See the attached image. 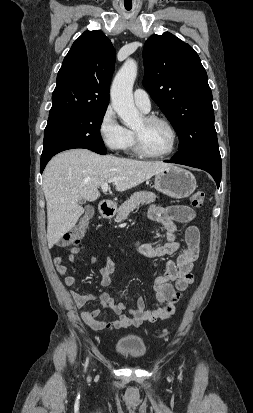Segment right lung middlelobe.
I'll return each mask as SVG.
<instances>
[{"label":"right lung middle lobe","mask_w":253,"mask_h":413,"mask_svg":"<svg viewBox=\"0 0 253 413\" xmlns=\"http://www.w3.org/2000/svg\"><path fill=\"white\" fill-rule=\"evenodd\" d=\"M105 112L106 108L49 115L42 155L65 146H104L100 126Z\"/></svg>","instance_id":"1"}]
</instances>
